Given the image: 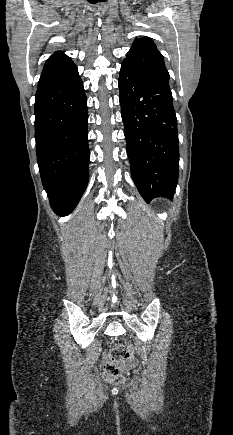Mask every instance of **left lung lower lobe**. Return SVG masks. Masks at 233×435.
Listing matches in <instances>:
<instances>
[{
  "instance_id": "0a47b994",
  "label": "left lung lower lobe",
  "mask_w": 233,
  "mask_h": 435,
  "mask_svg": "<svg viewBox=\"0 0 233 435\" xmlns=\"http://www.w3.org/2000/svg\"><path fill=\"white\" fill-rule=\"evenodd\" d=\"M119 90L132 179L146 202L172 197L179 176V140L170 87L122 64Z\"/></svg>"
}]
</instances>
